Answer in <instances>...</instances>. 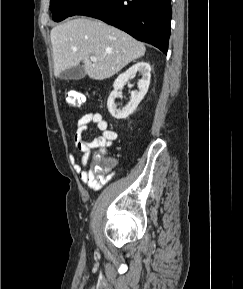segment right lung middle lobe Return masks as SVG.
I'll use <instances>...</instances> for the list:
<instances>
[{
  "label": "right lung middle lobe",
  "instance_id": "1",
  "mask_svg": "<svg viewBox=\"0 0 243 289\" xmlns=\"http://www.w3.org/2000/svg\"><path fill=\"white\" fill-rule=\"evenodd\" d=\"M84 1L85 0H51L50 9L53 14V20L59 22L71 16Z\"/></svg>",
  "mask_w": 243,
  "mask_h": 289
}]
</instances>
